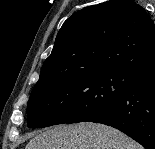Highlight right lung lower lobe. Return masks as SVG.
<instances>
[{
	"label": "right lung lower lobe",
	"mask_w": 155,
	"mask_h": 149,
	"mask_svg": "<svg viewBox=\"0 0 155 149\" xmlns=\"http://www.w3.org/2000/svg\"><path fill=\"white\" fill-rule=\"evenodd\" d=\"M91 122L117 128L145 149H155V71L142 74L124 95Z\"/></svg>",
	"instance_id": "98d812e1"
}]
</instances>
